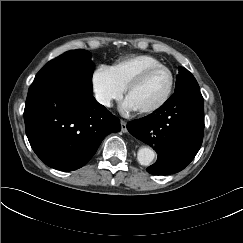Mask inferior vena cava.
<instances>
[{
  "mask_svg": "<svg viewBox=\"0 0 243 243\" xmlns=\"http://www.w3.org/2000/svg\"><path fill=\"white\" fill-rule=\"evenodd\" d=\"M97 101L107 107H110V100L104 96L98 95L96 96Z\"/></svg>",
  "mask_w": 243,
  "mask_h": 243,
  "instance_id": "inferior-vena-cava-1",
  "label": "inferior vena cava"
}]
</instances>
